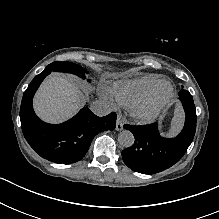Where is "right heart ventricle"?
<instances>
[{
	"label": "right heart ventricle",
	"mask_w": 219,
	"mask_h": 219,
	"mask_svg": "<svg viewBox=\"0 0 219 219\" xmlns=\"http://www.w3.org/2000/svg\"><path fill=\"white\" fill-rule=\"evenodd\" d=\"M155 75H146L134 80L124 81L115 86L117 100L124 106H134L144 98L158 83Z\"/></svg>",
	"instance_id": "right-heart-ventricle-1"
}]
</instances>
